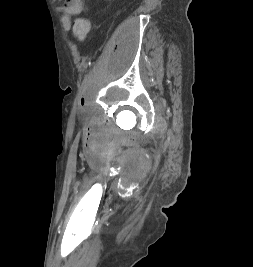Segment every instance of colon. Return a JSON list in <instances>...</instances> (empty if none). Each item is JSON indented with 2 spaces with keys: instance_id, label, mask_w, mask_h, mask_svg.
<instances>
[{
  "instance_id": "5ec220e1",
  "label": "colon",
  "mask_w": 253,
  "mask_h": 267,
  "mask_svg": "<svg viewBox=\"0 0 253 267\" xmlns=\"http://www.w3.org/2000/svg\"><path fill=\"white\" fill-rule=\"evenodd\" d=\"M74 36L79 41H84L91 31V20L85 17L77 18L72 25Z\"/></svg>"
}]
</instances>
